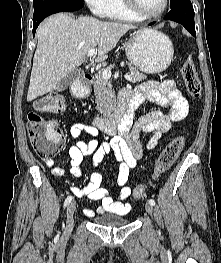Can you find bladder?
Segmentation results:
<instances>
[{
	"label": "bladder",
	"instance_id": "obj_1",
	"mask_svg": "<svg viewBox=\"0 0 221 263\" xmlns=\"http://www.w3.org/2000/svg\"><path fill=\"white\" fill-rule=\"evenodd\" d=\"M94 224L103 227L126 226L128 220L119 215H102L94 218Z\"/></svg>",
	"mask_w": 221,
	"mask_h": 263
}]
</instances>
